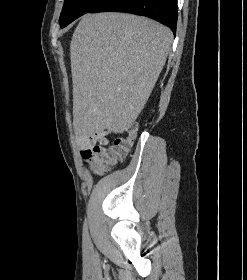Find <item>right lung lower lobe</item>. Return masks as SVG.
<instances>
[{
	"label": "right lung lower lobe",
	"mask_w": 247,
	"mask_h": 280,
	"mask_svg": "<svg viewBox=\"0 0 247 280\" xmlns=\"http://www.w3.org/2000/svg\"><path fill=\"white\" fill-rule=\"evenodd\" d=\"M127 12L153 18L176 33L177 0H102L91 12Z\"/></svg>",
	"instance_id": "obj_1"
}]
</instances>
